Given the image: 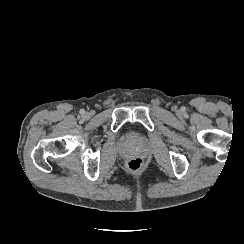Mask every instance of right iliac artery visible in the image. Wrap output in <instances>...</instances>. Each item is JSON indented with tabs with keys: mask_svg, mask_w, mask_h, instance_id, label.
Here are the masks:
<instances>
[{
	"mask_svg": "<svg viewBox=\"0 0 244 244\" xmlns=\"http://www.w3.org/2000/svg\"><path fill=\"white\" fill-rule=\"evenodd\" d=\"M84 113H85V111H84L83 109H81V110H80V114L83 115Z\"/></svg>",
	"mask_w": 244,
	"mask_h": 244,
	"instance_id": "right-iliac-artery-1",
	"label": "right iliac artery"
}]
</instances>
